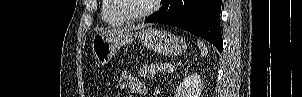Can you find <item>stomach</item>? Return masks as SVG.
<instances>
[{
  "instance_id": "obj_1",
  "label": "stomach",
  "mask_w": 302,
  "mask_h": 97,
  "mask_svg": "<svg viewBox=\"0 0 302 97\" xmlns=\"http://www.w3.org/2000/svg\"><path fill=\"white\" fill-rule=\"evenodd\" d=\"M135 38L139 39L146 49L169 57L181 55L187 49L186 42L180 37L153 27L138 31L96 34L92 39V53L96 62L100 65L107 64L118 48L131 44Z\"/></svg>"
}]
</instances>
